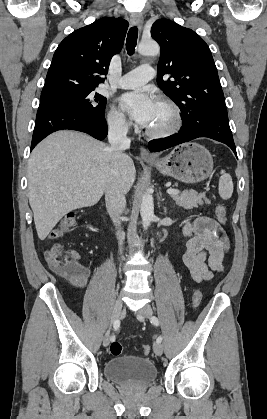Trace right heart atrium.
<instances>
[{
  "label": "right heart atrium",
  "mask_w": 267,
  "mask_h": 419,
  "mask_svg": "<svg viewBox=\"0 0 267 419\" xmlns=\"http://www.w3.org/2000/svg\"><path fill=\"white\" fill-rule=\"evenodd\" d=\"M107 124L112 131L119 134L126 133L130 127V122L124 114L115 107L110 108L107 113Z\"/></svg>",
  "instance_id": "1"
}]
</instances>
